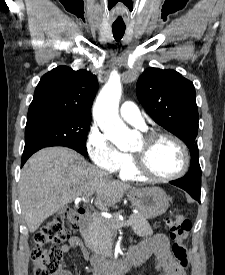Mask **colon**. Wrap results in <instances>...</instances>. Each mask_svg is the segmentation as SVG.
<instances>
[{
  "label": "colon",
  "instance_id": "1",
  "mask_svg": "<svg viewBox=\"0 0 225 275\" xmlns=\"http://www.w3.org/2000/svg\"><path fill=\"white\" fill-rule=\"evenodd\" d=\"M83 220L81 209L71 207L63 215L56 216L43 225L34 235L31 258L33 275H60L62 251L59 245L70 236L71 229H77ZM170 237L173 240L172 253L182 268L188 266L186 240L191 222L179 213L167 218ZM49 245V247H47Z\"/></svg>",
  "mask_w": 225,
  "mask_h": 275
}]
</instances>
